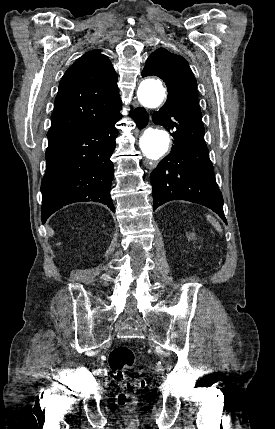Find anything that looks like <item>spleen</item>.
Segmentation results:
<instances>
[{
	"mask_svg": "<svg viewBox=\"0 0 275 429\" xmlns=\"http://www.w3.org/2000/svg\"><path fill=\"white\" fill-rule=\"evenodd\" d=\"M207 220L214 226V228H216V230H218L219 232L222 231L219 222L213 216L207 215Z\"/></svg>",
	"mask_w": 275,
	"mask_h": 429,
	"instance_id": "1",
	"label": "spleen"
}]
</instances>
